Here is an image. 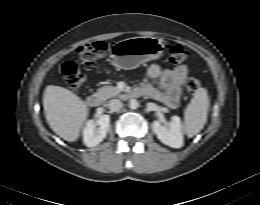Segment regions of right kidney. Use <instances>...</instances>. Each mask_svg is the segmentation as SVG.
Returning <instances> with one entry per match:
<instances>
[{"label": "right kidney", "instance_id": "right-kidney-1", "mask_svg": "<svg viewBox=\"0 0 260 205\" xmlns=\"http://www.w3.org/2000/svg\"><path fill=\"white\" fill-rule=\"evenodd\" d=\"M96 126H99L96 128ZM110 127L109 115H102L98 120H89L83 130V141L88 147L97 146L106 137Z\"/></svg>", "mask_w": 260, "mask_h": 205}]
</instances>
